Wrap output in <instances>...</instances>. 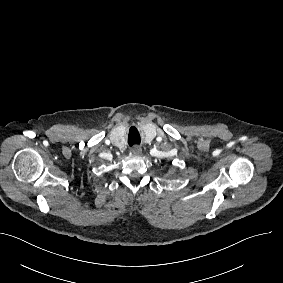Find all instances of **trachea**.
Returning a JSON list of instances; mask_svg holds the SVG:
<instances>
[{
  "label": "trachea",
  "mask_w": 283,
  "mask_h": 283,
  "mask_svg": "<svg viewBox=\"0 0 283 283\" xmlns=\"http://www.w3.org/2000/svg\"><path fill=\"white\" fill-rule=\"evenodd\" d=\"M128 143L130 146H133L135 144H140V135L137 131L136 134H134L133 136L130 137V140H128Z\"/></svg>",
  "instance_id": "trachea-1"
}]
</instances>
